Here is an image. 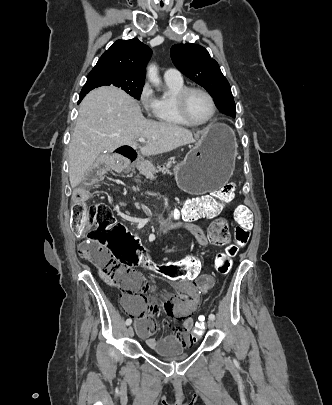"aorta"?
<instances>
[{
  "label": "aorta",
  "instance_id": "obj_1",
  "mask_svg": "<svg viewBox=\"0 0 332 405\" xmlns=\"http://www.w3.org/2000/svg\"><path fill=\"white\" fill-rule=\"evenodd\" d=\"M147 77L150 82L159 86L161 83L160 77L158 75V67L155 64H150L147 67Z\"/></svg>",
  "mask_w": 332,
  "mask_h": 405
}]
</instances>
